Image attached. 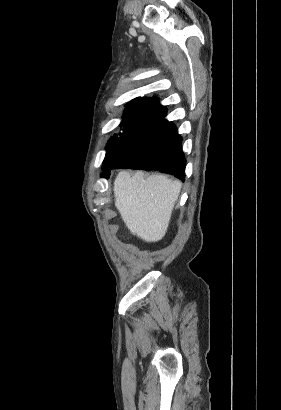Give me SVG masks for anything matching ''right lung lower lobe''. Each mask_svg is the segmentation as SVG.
<instances>
[{"label":"right lung lower lobe","instance_id":"1","mask_svg":"<svg viewBox=\"0 0 281 410\" xmlns=\"http://www.w3.org/2000/svg\"><path fill=\"white\" fill-rule=\"evenodd\" d=\"M181 144L182 137L176 126L164 119L136 143L112 169L157 170L184 181L186 160ZM110 171L103 172L101 176L108 178Z\"/></svg>","mask_w":281,"mask_h":410}]
</instances>
